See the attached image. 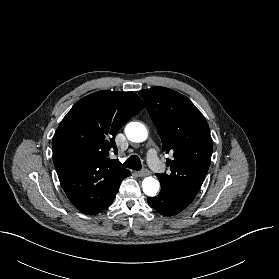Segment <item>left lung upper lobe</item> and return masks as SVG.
Wrapping results in <instances>:
<instances>
[{
    "mask_svg": "<svg viewBox=\"0 0 279 279\" xmlns=\"http://www.w3.org/2000/svg\"><path fill=\"white\" fill-rule=\"evenodd\" d=\"M139 95L161 137L171 173L158 174L161 186L196 196L208 172L213 141L202 113L184 95L165 87L142 90Z\"/></svg>",
    "mask_w": 279,
    "mask_h": 279,
    "instance_id": "left-lung-upper-lobe-1",
    "label": "left lung upper lobe"
}]
</instances>
